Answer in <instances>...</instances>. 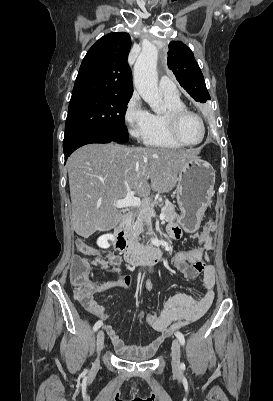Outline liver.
<instances>
[{
  "label": "liver",
  "instance_id": "6515ba94",
  "mask_svg": "<svg viewBox=\"0 0 273 401\" xmlns=\"http://www.w3.org/2000/svg\"><path fill=\"white\" fill-rule=\"evenodd\" d=\"M199 152L198 148H143L115 142L81 146L67 160L75 233L88 239L95 231L115 229L122 219L116 201H122L129 190H137L140 196H148L150 188L172 190L183 164L201 160Z\"/></svg>",
  "mask_w": 273,
  "mask_h": 401
}]
</instances>
